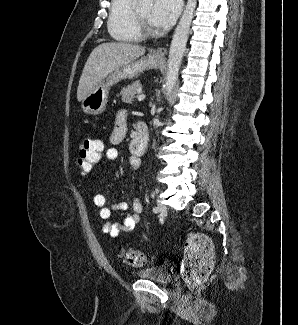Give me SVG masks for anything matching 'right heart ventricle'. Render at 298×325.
Here are the masks:
<instances>
[{
	"label": "right heart ventricle",
	"mask_w": 298,
	"mask_h": 325,
	"mask_svg": "<svg viewBox=\"0 0 298 325\" xmlns=\"http://www.w3.org/2000/svg\"><path fill=\"white\" fill-rule=\"evenodd\" d=\"M131 2L132 0H115L111 4L107 20V30L110 37H115V41L138 42L140 40L129 25Z\"/></svg>",
	"instance_id": "obj_1"
}]
</instances>
